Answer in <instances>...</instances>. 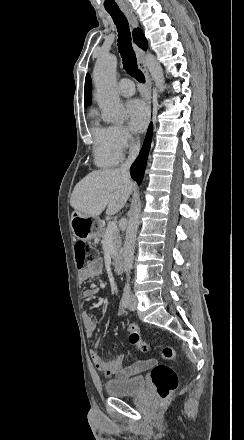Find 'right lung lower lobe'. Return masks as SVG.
Here are the masks:
<instances>
[{"label":"right lung lower lobe","mask_w":244,"mask_h":440,"mask_svg":"<svg viewBox=\"0 0 244 440\" xmlns=\"http://www.w3.org/2000/svg\"><path fill=\"white\" fill-rule=\"evenodd\" d=\"M152 132H153V127L152 124H150L142 149L139 153V156L137 157V160L132 164L130 168L131 177L133 178V180H135L138 183V185H140L143 180L148 153L150 150V145L152 140Z\"/></svg>","instance_id":"1"}]
</instances>
